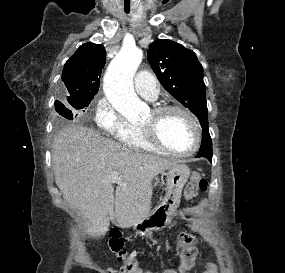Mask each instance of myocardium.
I'll return each instance as SVG.
<instances>
[{"label":"myocardium","instance_id":"f54148a6","mask_svg":"<svg viewBox=\"0 0 285 273\" xmlns=\"http://www.w3.org/2000/svg\"><path fill=\"white\" fill-rule=\"evenodd\" d=\"M151 111L156 116H160L172 111L182 113L192 123L194 128L195 138L193 146L191 147L190 150L186 152H178L168 148L166 145L163 144V142L160 140L159 136L157 135L154 126L140 125V129L143 133V136L149 144H151L153 147L164 153L181 158L193 156L199 150L202 141V128L199 120L190 110L181 105L170 104V105H158L154 107Z\"/></svg>","mask_w":285,"mask_h":273}]
</instances>
